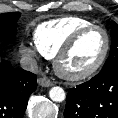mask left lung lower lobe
<instances>
[{"label":"left lung lower lobe","mask_w":118,"mask_h":118,"mask_svg":"<svg viewBox=\"0 0 118 118\" xmlns=\"http://www.w3.org/2000/svg\"><path fill=\"white\" fill-rule=\"evenodd\" d=\"M64 118H118V66L70 88Z\"/></svg>","instance_id":"left-lung-lower-lobe-1"}]
</instances>
